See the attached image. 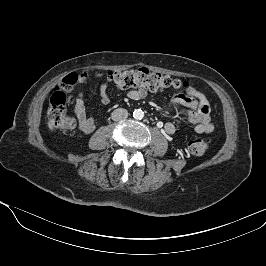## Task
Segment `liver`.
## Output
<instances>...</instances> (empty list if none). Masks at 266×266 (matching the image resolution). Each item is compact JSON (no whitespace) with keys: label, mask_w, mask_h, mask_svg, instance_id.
Instances as JSON below:
<instances>
[{"label":"liver","mask_w":266,"mask_h":266,"mask_svg":"<svg viewBox=\"0 0 266 266\" xmlns=\"http://www.w3.org/2000/svg\"><path fill=\"white\" fill-rule=\"evenodd\" d=\"M48 127H49L50 130H52V131L54 130L53 125H52L51 122H48Z\"/></svg>","instance_id":"liver-1"}]
</instances>
